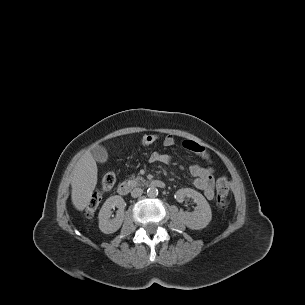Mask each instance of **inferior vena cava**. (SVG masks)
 <instances>
[{
	"mask_svg": "<svg viewBox=\"0 0 305 305\" xmlns=\"http://www.w3.org/2000/svg\"><path fill=\"white\" fill-rule=\"evenodd\" d=\"M143 193V190L141 188H134L131 192V196L134 198H137L139 196H141Z\"/></svg>",
	"mask_w": 305,
	"mask_h": 305,
	"instance_id": "1",
	"label": "inferior vena cava"
}]
</instances>
